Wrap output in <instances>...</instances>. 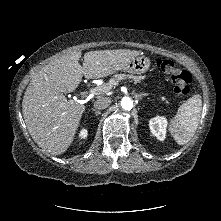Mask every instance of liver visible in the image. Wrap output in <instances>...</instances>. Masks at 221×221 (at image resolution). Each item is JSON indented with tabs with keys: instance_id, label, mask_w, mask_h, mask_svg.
Returning a JSON list of instances; mask_svg holds the SVG:
<instances>
[{
	"instance_id": "obj_1",
	"label": "liver",
	"mask_w": 221,
	"mask_h": 221,
	"mask_svg": "<svg viewBox=\"0 0 221 221\" xmlns=\"http://www.w3.org/2000/svg\"><path fill=\"white\" fill-rule=\"evenodd\" d=\"M138 51L117 49L90 51L79 64L80 51H73L44 66L30 81L23 97V117L27 129L42 149L52 155L64 153L74 141L85 106L67 100L87 79L106 77L123 70Z\"/></svg>"
}]
</instances>
